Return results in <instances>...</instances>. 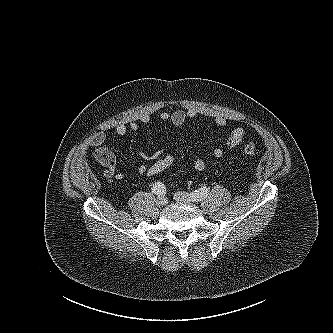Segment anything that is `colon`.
<instances>
[{
  "label": "colon",
  "mask_w": 333,
  "mask_h": 333,
  "mask_svg": "<svg viewBox=\"0 0 333 333\" xmlns=\"http://www.w3.org/2000/svg\"><path fill=\"white\" fill-rule=\"evenodd\" d=\"M245 154L254 156L256 154L255 146L252 143H248L243 148ZM175 158L171 154H162L155 159L146 169V175L150 177H156L167 171L174 163Z\"/></svg>",
  "instance_id": "5ec220e1"
}]
</instances>
